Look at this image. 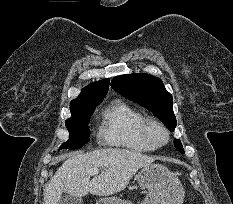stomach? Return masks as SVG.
I'll list each match as a JSON object with an SVG mask.
<instances>
[{"label": "stomach", "instance_id": "0dacf381", "mask_svg": "<svg viewBox=\"0 0 233 204\" xmlns=\"http://www.w3.org/2000/svg\"><path fill=\"white\" fill-rule=\"evenodd\" d=\"M140 187L148 193L141 204H183L184 189L177 178L165 166L150 163L135 175ZM99 204H132L120 199H103Z\"/></svg>", "mask_w": 233, "mask_h": 204}]
</instances>
